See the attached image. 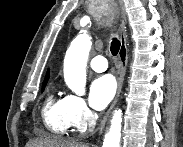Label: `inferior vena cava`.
I'll return each instance as SVG.
<instances>
[{
  "mask_svg": "<svg viewBox=\"0 0 183 147\" xmlns=\"http://www.w3.org/2000/svg\"><path fill=\"white\" fill-rule=\"evenodd\" d=\"M97 118V116H96ZM92 124H95V119L93 118L92 121H91Z\"/></svg>",
  "mask_w": 183,
  "mask_h": 147,
  "instance_id": "inferior-vena-cava-1",
  "label": "inferior vena cava"
}]
</instances>
